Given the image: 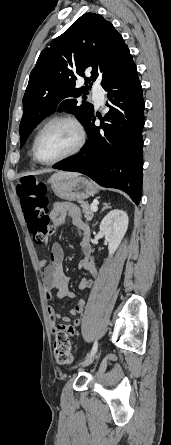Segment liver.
<instances>
[{
	"instance_id": "1",
	"label": "liver",
	"mask_w": 171,
	"mask_h": 445,
	"mask_svg": "<svg viewBox=\"0 0 171 445\" xmlns=\"http://www.w3.org/2000/svg\"><path fill=\"white\" fill-rule=\"evenodd\" d=\"M73 175H77V173L58 172L54 176H73Z\"/></svg>"
}]
</instances>
